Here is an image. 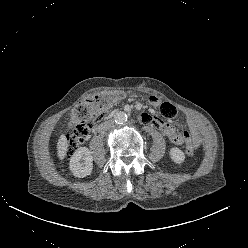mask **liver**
Listing matches in <instances>:
<instances>
[{
    "label": "liver",
    "instance_id": "1",
    "mask_svg": "<svg viewBox=\"0 0 248 248\" xmlns=\"http://www.w3.org/2000/svg\"><path fill=\"white\" fill-rule=\"evenodd\" d=\"M67 151V143L63 135L60 136L58 143H57V157L62 160Z\"/></svg>",
    "mask_w": 248,
    "mask_h": 248
}]
</instances>
